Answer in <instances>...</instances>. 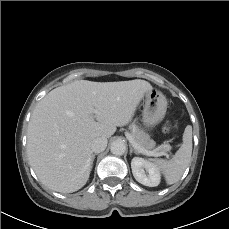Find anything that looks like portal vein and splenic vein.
I'll return each mask as SVG.
<instances>
[{
	"label": "portal vein and splenic vein",
	"instance_id": "1",
	"mask_svg": "<svg viewBox=\"0 0 229 229\" xmlns=\"http://www.w3.org/2000/svg\"><path fill=\"white\" fill-rule=\"evenodd\" d=\"M95 112V110L93 111ZM126 138L128 139L129 143L139 152V153H143L145 155L148 156H154V157H158V156H162V155H167L165 152H157L155 150H146L144 148H142L135 140L134 138L131 136L130 133L126 132Z\"/></svg>",
	"mask_w": 229,
	"mask_h": 229
}]
</instances>
